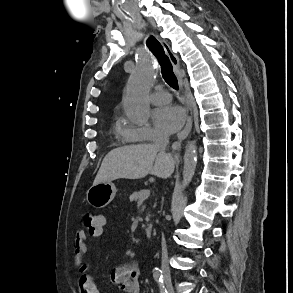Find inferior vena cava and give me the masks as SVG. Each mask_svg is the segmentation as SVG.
<instances>
[{
	"instance_id": "602c4592",
	"label": "inferior vena cava",
	"mask_w": 293,
	"mask_h": 293,
	"mask_svg": "<svg viewBox=\"0 0 293 293\" xmlns=\"http://www.w3.org/2000/svg\"><path fill=\"white\" fill-rule=\"evenodd\" d=\"M168 142L169 136L167 134H158L154 142V147L158 149L159 152L165 153ZM162 270L164 272H169L168 252L164 236H162Z\"/></svg>"
}]
</instances>
